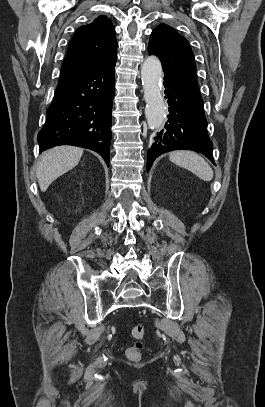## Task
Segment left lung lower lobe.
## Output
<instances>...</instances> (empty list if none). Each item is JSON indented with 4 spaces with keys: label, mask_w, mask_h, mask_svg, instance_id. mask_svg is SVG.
<instances>
[{
    "label": "left lung lower lobe",
    "mask_w": 265,
    "mask_h": 407,
    "mask_svg": "<svg viewBox=\"0 0 265 407\" xmlns=\"http://www.w3.org/2000/svg\"><path fill=\"white\" fill-rule=\"evenodd\" d=\"M165 99L169 104V119L157 133L147 153L149 171L153 161L163 153L189 149L203 153L211 162L213 144L207 133V120L202 97L180 81L165 76Z\"/></svg>",
    "instance_id": "left-lung-lower-lobe-1"
}]
</instances>
